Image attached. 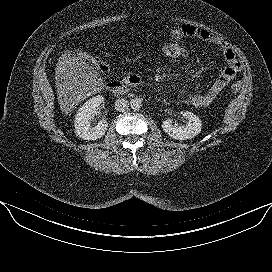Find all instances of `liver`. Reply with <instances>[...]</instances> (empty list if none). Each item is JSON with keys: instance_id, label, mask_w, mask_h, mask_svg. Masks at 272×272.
Wrapping results in <instances>:
<instances>
[{"instance_id": "liver-1", "label": "liver", "mask_w": 272, "mask_h": 272, "mask_svg": "<svg viewBox=\"0 0 272 272\" xmlns=\"http://www.w3.org/2000/svg\"><path fill=\"white\" fill-rule=\"evenodd\" d=\"M55 84L60 109L66 115L104 86L100 74L70 52L64 53L56 64Z\"/></svg>"}]
</instances>
